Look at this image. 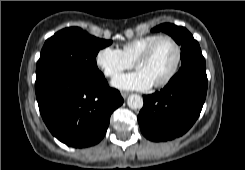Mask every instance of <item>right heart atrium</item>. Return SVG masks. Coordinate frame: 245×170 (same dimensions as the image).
Wrapping results in <instances>:
<instances>
[{
    "label": "right heart atrium",
    "instance_id": "d8ad5b80",
    "mask_svg": "<svg viewBox=\"0 0 245 170\" xmlns=\"http://www.w3.org/2000/svg\"><path fill=\"white\" fill-rule=\"evenodd\" d=\"M95 61L108 77H114L133 66V62L124 55L122 50L111 46L101 48L96 55Z\"/></svg>",
    "mask_w": 245,
    "mask_h": 170
}]
</instances>
